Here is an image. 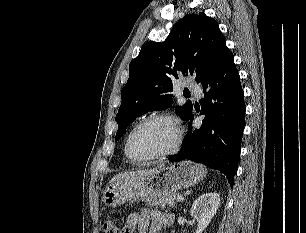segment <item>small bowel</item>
<instances>
[{
	"instance_id": "obj_1",
	"label": "small bowel",
	"mask_w": 306,
	"mask_h": 233,
	"mask_svg": "<svg viewBox=\"0 0 306 233\" xmlns=\"http://www.w3.org/2000/svg\"><path fill=\"white\" fill-rule=\"evenodd\" d=\"M174 216L158 210L142 209L128 216L123 233H158L163 227L172 225Z\"/></svg>"
}]
</instances>
